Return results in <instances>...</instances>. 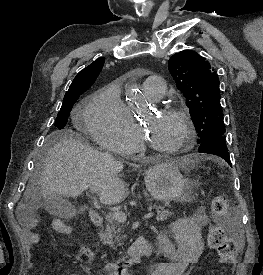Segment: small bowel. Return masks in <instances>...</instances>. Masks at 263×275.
Instances as JSON below:
<instances>
[{
	"instance_id": "small-bowel-1",
	"label": "small bowel",
	"mask_w": 263,
	"mask_h": 275,
	"mask_svg": "<svg viewBox=\"0 0 263 275\" xmlns=\"http://www.w3.org/2000/svg\"><path fill=\"white\" fill-rule=\"evenodd\" d=\"M26 223L28 230L34 225L32 221ZM206 227L212 228L209 217L204 208H198L191 216L181 217L162 230L159 235V252L167 258V261L155 266L151 275H183L188 266L197 263L205 248L203 229ZM170 234L174 235L176 245L170 241ZM30 238L33 244L39 241L38 235L34 232H30ZM78 253L87 258H93L97 254L96 250L86 245H80ZM101 272L105 275H132L127 270L121 272L111 265H105Z\"/></svg>"
}]
</instances>
